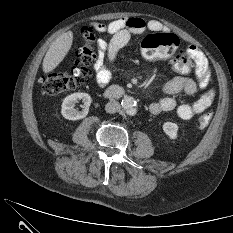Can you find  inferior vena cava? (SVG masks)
<instances>
[{
    "mask_svg": "<svg viewBox=\"0 0 233 233\" xmlns=\"http://www.w3.org/2000/svg\"><path fill=\"white\" fill-rule=\"evenodd\" d=\"M119 109H120V104L116 100H111L105 105L106 112L110 114L118 112Z\"/></svg>",
    "mask_w": 233,
    "mask_h": 233,
    "instance_id": "1",
    "label": "inferior vena cava"
}]
</instances>
